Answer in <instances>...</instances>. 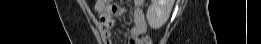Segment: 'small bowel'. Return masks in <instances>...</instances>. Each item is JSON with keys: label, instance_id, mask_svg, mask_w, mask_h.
<instances>
[{"label": "small bowel", "instance_id": "obj_1", "mask_svg": "<svg viewBox=\"0 0 261 44\" xmlns=\"http://www.w3.org/2000/svg\"><path fill=\"white\" fill-rule=\"evenodd\" d=\"M142 1H134V9L132 12V25L130 27V44H136V39L142 36L146 31V20L142 11ZM96 11L99 14L101 34L107 44L113 43V29L115 28V15H121L123 9L118 6H96Z\"/></svg>", "mask_w": 261, "mask_h": 44}]
</instances>
